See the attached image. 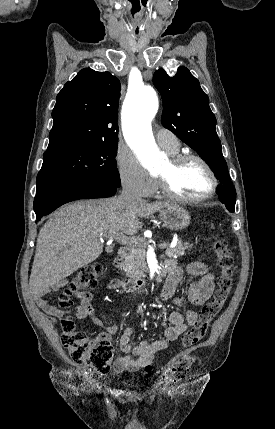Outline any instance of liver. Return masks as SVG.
<instances>
[{"mask_svg": "<svg viewBox=\"0 0 275 429\" xmlns=\"http://www.w3.org/2000/svg\"><path fill=\"white\" fill-rule=\"evenodd\" d=\"M168 202L139 200L126 203L119 197L79 201L55 211L41 228L32 265L30 289L44 295L103 252V240L116 234L133 235L141 218L153 215Z\"/></svg>", "mask_w": 275, "mask_h": 429, "instance_id": "obj_1", "label": "liver"}]
</instances>
